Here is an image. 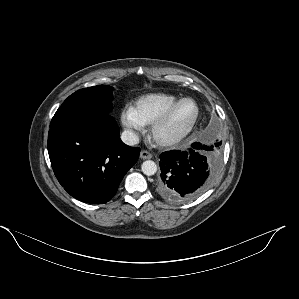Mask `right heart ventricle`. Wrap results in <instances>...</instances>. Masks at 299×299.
<instances>
[{"mask_svg": "<svg viewBox=\"0 0 299 299\" xmlns=\"http://www.w3.org/2000/svg\"><path fill=\"white\" fill-rule=\"evenodd\" d=\"M178 97L169 93H150L139 97L132 108L144 125L152 124Z\"/></svg>", "mask_w": 299, "mask_h": 299, "instance_id": "e07e8e85", "label": "right heart ventricle"}]
</instances>
